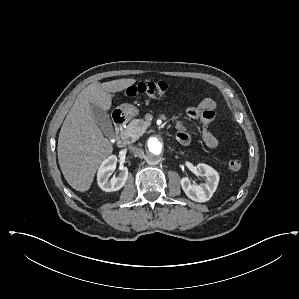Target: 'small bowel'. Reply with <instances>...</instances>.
Instances as JSON below:
<instances>
[{
	"label": "small bowel",
	"mask_w": 299,
	"mask_h": 299,
	"mask_svg": "<svg viewBox=\"0 0 299 299\" xmlns=\"http://www.w3.org/2000/svg\"><path fill=\"white\" fill-rule=\"evenodd\" d=\"M216 108L217 104L213 99L204 98L196 106H190L185 111L190 119L199 120L202 123V138L210 149H215L218 146L217 138L209 129V125L215 118ZM176 138L183 145H188L191 140L190 135L186 132L181 122L177 123Z\"/></svg>",
	"instance_id": "obj_1"
}]
</instances>
